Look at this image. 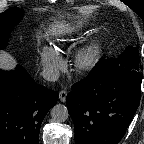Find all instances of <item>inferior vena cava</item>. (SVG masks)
Masks as SVG:
<instances>
[{
  "label": "inferior vena cava",
  "mask_w": 144,
  "mask_h": 144,
  "mask_svg": "<svg viewBox=\"0 0 144 144\" xmlns=\"http://www.w3.org/2000/svg\"><path fill=\"white\" fill-rule=\"evenodd\" d=\"M43 78L47 81H56L59 78L60 72L57 68L46 67L42 71Z\"/></svg>",
  "instance_id": "1"
}]
</instances>
